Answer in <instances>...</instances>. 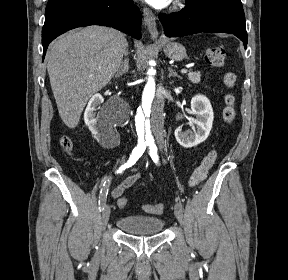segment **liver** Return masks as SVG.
<instances>
[{
  "label": "liver",
  "mask_w": 288,
  "mask_h": 280,
  "mask_svg": "<svg viewBox=\"0 0 288 280\" xmlns=\"http://www.w3.org/2000/svg\"><path fill=\"white\" fill-rule=\"evenodd\" d=\"M127 41L115 29L89 26L71 31L48 51L47 71L59 115L75 128L89 98L117 73Z\"/></svg>",
  "instance_id": "obj_1"
}]
</instances>
